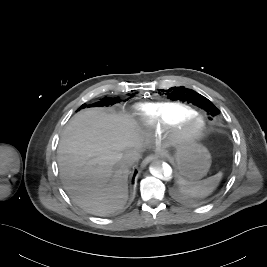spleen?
Segmentation results:
<instances>
[{
  "mask_svg": "<svg viewBox=\"0 0 267 267\" xmlns=\"http://www.w3.org/2000/svg\"><path fill=\"white\" fill-rule=\"evenodd\" d=\"M222 172L201 180V181H188L184 178H180L178 183L180 190L184 195L191 197H204L211 194L218 186L221 178Z\"/></svg>",
  "mask_w": 267,
  "mask_h": 267,
  "instance_id": "3e777b00",
  "label": "spleen"
}]
</instances>
